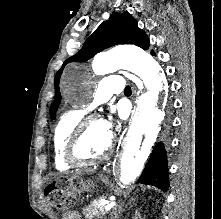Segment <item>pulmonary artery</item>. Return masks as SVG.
Returning a JSON list of instances; mask_svg holds the SVG:
<instances>
[{
  "label": "pulmonary artery",
  "mask_w": 221,
  "mask_h": 219,
  "mask_svg": "<svg viewBox=\"0 0 221 219\" xmlns=\"http://www.w3.org/2000/svg\"><path fill=\"white\" fill-rule=\"evenodd\" d=\"M124 88L123 77L120 75H111L105 77L98 85L92 96V101L87 107L88 110L108 101L113 94H119Z\"/></svg>",
  "instance_id": "obj_1"
}]
</instances>
